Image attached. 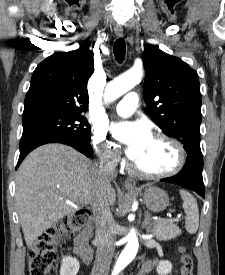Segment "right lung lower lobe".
<instances>
[{"mask_svg":"<svg viewBox=\"0 0 225 275\" xmlns=\"http://www.w3.org/2000/svg\"><path fill=\"white\" fill-rule=\"evenodd\" d=\"M47 143H62L69 145L76 150L80 151L87 157H92L93 149L90 143H82L68 137L52 135V134H44V133H30L26 135H22L20 140V156L17 163V167L20 165L22 160L26 157V155L35 149L38 146ZM16 167V168H17Z\"/></svg>","mask_w":225,"mask_h":275,"instance_id":"1","label":"right lung lower lobe"}]
</instances>
